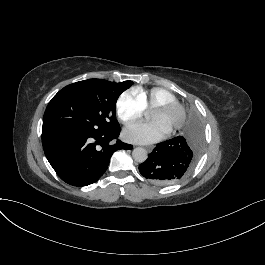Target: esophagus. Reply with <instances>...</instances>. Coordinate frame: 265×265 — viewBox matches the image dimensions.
Masks as SVG:
<instances>
[{
    "label": "esophagus",
    "instance_id": "1",
    "mask_svg": "<svg viewBox=\"0 0 265 265\" xmlns=\"http://www.w3.org/2000/svg\"><path fill=\"white\" fill-rule=\"evenodd\" d=\"M154 146H148L146 147V149L148 150V152H151L153 150Z\"/></svg>",
    "mask_w": 265,
    "mask_h": 265
}]
</instances>
